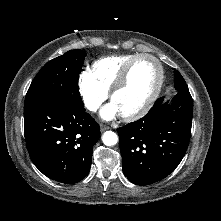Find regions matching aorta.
Returning <instances> with one entry per match:
<instances>
[{
    "label": "aorta",
    "mask_w": 221,
    "mask_h": 221,
    "mask_svg": "<svg viewBox=\"0 0 221 221\" xmlns=\"http://www.w3.org/2000/svg\"><path fill=\"white\" fill-rule=\"evenodd\" d=\"M102 141L106 146H113L118 142V136L115 132L106 131L102 135Z\"/></svg>",
    "instance_id": "aorta-1"
}]
</instances>
